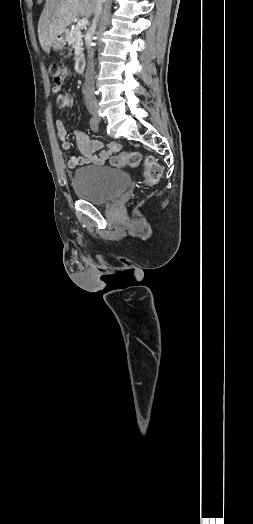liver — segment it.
<instances>
[{"label":"liver","instance_id":"obj_1","mask_svg":"<svg viewBox=\"0 0 253 524\" xmlns=\"http://www.w3.org/2000/svg\"><path fill=\"white\" fill-rule=\"evenodd\" d=\"M97 0H46L38 22V37L42 49L48 54L53 41L78 16L90 17Z\"/></svg>","mask_w":253,"mask_h":524}]
</instances>
